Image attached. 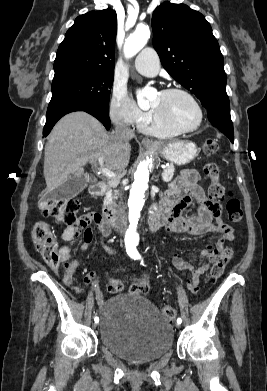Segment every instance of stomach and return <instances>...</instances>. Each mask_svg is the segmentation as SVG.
Masks as SVG:
<instances>
[{"instance_id":"1","label":"stomach","mask_w":267,"mask_h":391,"mask_svg":"<svg viewBox=\"0 0 267 391\" xmlns=\"http://www.w3.org/2000/svg\"><path fill=\"white\" fill-rule=\"evenodd\" d=\"M152 149L158 151L167 161L178 166L190 163L199 153L197 145L188 140L167 145L156 143Z\"/></svg>"}]
</instances>
